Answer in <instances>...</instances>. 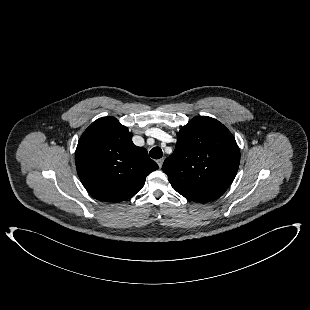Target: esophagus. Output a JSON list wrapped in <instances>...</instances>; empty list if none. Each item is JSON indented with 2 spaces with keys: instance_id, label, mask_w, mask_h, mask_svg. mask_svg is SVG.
Instances as JSON below:
<instances>
[{
  "instance_id": "obj_1",
  "label": "esophagus",
  "mask_w": 310,
  "mask_h": 310,
  "mask_svg": "<svg viewBox=\"0 0 310 310\" xmlns=\"http://www.w3.org/2000/svg\"><path fill=\"white\" fill-rule=\"evenodd\" d=\"M163 161H164L163 158L157 160V164H158L159 168L162 167Z\"/></svg>"
}]
</instances>
